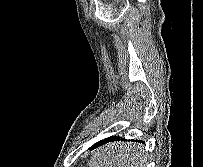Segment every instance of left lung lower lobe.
I'll return each mask as SVG.
<instances>
[{"mask_svg":"<svg viewBox=\"0 0 203 167\" xmlns=\"http://www.w3.org/2000/svg\"><path fill=\"white\" fill-rule=\"evenodd\" d=\"M118 139H119V138H117V137H111V138H108V139L101 140V141L97 142L96 144H94L90 149H96L97 147H99V146L105 144L106 142H111V141H113V140H118ZM122 140H123V139H122ZM124 140H125V139H124ZM132 141H136V142H137V140H132Z\"/></svg>","mask_w":203,"mask_h":167,"instance_id":"1","label":"left lung lower lobe"}]
</instances>
